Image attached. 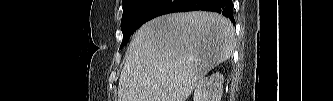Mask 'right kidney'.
<instances>
[{
    "instance_id": "obj_1",
    "label": "right kidney",
    "mask_w": 333,
    "mask_h": 101,
    "mask_svg": "<svg viewBox=\"0 0 333 101\" xmlns=\"http://www.w3.org/2000/svg\"><path fill=\"white\" fill-rule=\"evenodd\" d=\"M224 77L219 72L202 78L194 91V101H221Z\"/></svg>"
}]
</instances>
